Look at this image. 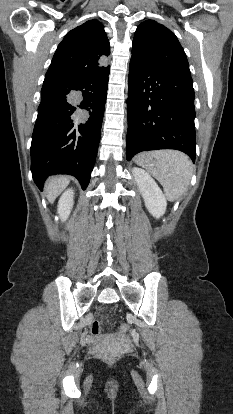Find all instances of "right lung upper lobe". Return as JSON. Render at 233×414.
Masks as SVG:
<instances>
[{"label": "right lung upper lobe", "instance_id": "1", "mask_svg": "<svg viewBox=\"0 0 233 414\" xmlns=\"http://www.w3.org/2000/svg\"><path fill=\"white\" fill-rule=\"evenodd\" d=\"M110 45L103 25L89 20L66 34L59 44L46 76L73 79L95 75L109 68Z\"/></svg>", "mask_w": 233, "mask_h": 414}]
</instances>
